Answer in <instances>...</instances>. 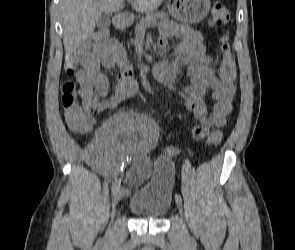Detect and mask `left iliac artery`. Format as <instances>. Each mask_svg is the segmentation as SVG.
I'll return each mask as SVG.
<instances>
[{
  "mask_svg": "<svg viewBox=\"0 0 295 250\" xmlns=\"http://www.w3.org/2000/svg\"><path fill=\"white\" fill-rule=\"evenodd\" d=\"M175 199H176V201L182 202V198H181L180 194H176Z\"/></svg>",
  "mask_w": 295,
  "mask_h": 250,
  "instance_id": "left-iliac-artery-1",
  "label": "left iliac artery"
}]
</instances>
